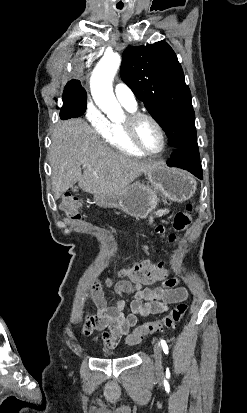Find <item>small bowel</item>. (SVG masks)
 <instances>
[{"label":"small bowel","mask_w":247,"mask_h":413,"mask_svg":"<svg viewBox=\"0 0 247 413\" xmlns=\"http://www.w3.org/2000/svg\"><path fill=\"white\" fill-rule=\"evenodd\" d=\"M169 208H160L150 217V223L156 231H163L155 219L169 214ZM116 283L111 278L105 279V285L113 288L118 296L132 295L129 303L122 299L108 306L100 282L92 286L91 300L93 309L86 315L80 326L83 336L90 337L94 331L108 330L102 341L110 348L117 346L123 336L135 327L140 316L157 315L168 311L172 305L187 300L189 293L184 287H177L175 278L161 277V287L155 289H138L137 282H122L123 276H116Z\"/></svg>","instance_id":"obj_1"}]
</instances>
